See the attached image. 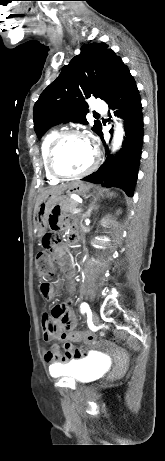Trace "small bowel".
I'll return each instance as SVG.
<instances>
[{
  "label": "small bowel",
  "mask_w": 165,
  "mask_h": 461,
  "mask_svg": "<svg viewBox=\"0 0 165 461\" xmlns=\"http://www.w3.org/2000/svg\"><path fill=\"white\" fill-rule=\"evenodd\" d=\"M64 209V204H53L51 206L52 214L48 215L49 222H60L62 219L63 222H66L67 225H69L71 228H74L75 224L72 221L73 218L76 219L77 217H73V214H62L61 216V213L64 211ZM65 252V245H58L53 249V254L60 260L63 258ZM61 264L63 268H65V263L62 262ZM60 284L65 286V289L69 295L73 294L74 287L71 281V276L68 273L64 274L63 278L60 280ZM57 287V283L42 281L40 283V293L45 300L51 301L56 296ZM57 305L60 308L59 316H54L52 311L50 314H43L42 316L43 339L46 342H50L55 339L90 342L87 338L90 333L79 332L75 330L76 320L71 309V301L67 300ZM71 358L72 356L67 354V352L62 353L61 347L58 344H54L48 351L45 352L46 362L50 364V367L53 371L58 373H62L64 368L63 363L70 360Z\"/></svg>",
  "instance_id": "1"
}]
</instances>
